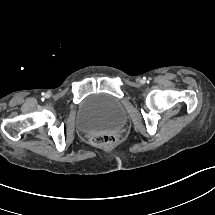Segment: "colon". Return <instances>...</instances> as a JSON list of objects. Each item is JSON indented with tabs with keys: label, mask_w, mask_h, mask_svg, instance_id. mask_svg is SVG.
I'll use <instances>...</instances> for the list:
<instances>
[{
	"label": "colon",
	"mask_w": 215,
	"mask_h": 215,
	"mask_svg": "<svg viewBox=\"0 0 215 215\" xmlns=\"http://www.w3.org/2000/svg\"><path fill=\"white\" fill-rule=\"evenodd\" d=\"M115 141V136H98L94 139V144L100 147L112 144Z\"/></svg>",
	"instance_id": "5ec220e1"
}]
</instances>
